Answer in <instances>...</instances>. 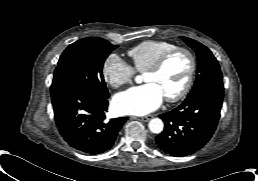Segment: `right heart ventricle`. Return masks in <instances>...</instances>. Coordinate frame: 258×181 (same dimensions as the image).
<instances>
[{
  "mask_svg": "<svg viewBox=\"0 0 258 181\" xmlns=\"http://www.w3.org/2000/svg\"><path fill=\"white\" fill-rule=\"evenodd\" d=\"M177 47L161 40H146L128 50L134 70L145 72L163 53Z\"/></svg>",
  "mask_w": 258,
  "mask_h": 181,
  "instance_id": "e07e8e85",
  "label": "right heart ventricle"
}]
</instances>
